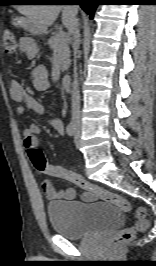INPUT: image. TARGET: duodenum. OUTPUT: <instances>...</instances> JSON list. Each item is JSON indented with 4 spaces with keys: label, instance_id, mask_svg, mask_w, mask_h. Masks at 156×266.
Here are the masks:
<instances>
[{
    "label": "duodenum",
    "instance_id": "duodenum-1",
    "mask_svg": "<svg viewBox=\"0 0 156 266\" xmlns=\"http://www.w3.org/2000/svg\"><path fill=\"white\" fill-rule=\"evenodd\" d=\"M61 82L66 90L71 88V76L69 74H64L61 78Z\"/></svg>",
    "mask_w": 156,
    "mask_h": 266
}]
</instances>
